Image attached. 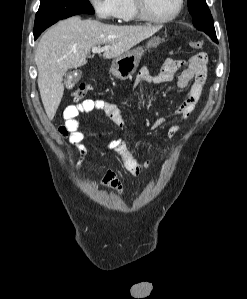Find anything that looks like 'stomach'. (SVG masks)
Returning a JSON list of instances; mask_svg holds the SVG:
<instances>
[{"instance_id": "1", "label": "stomach", "mask_w": 247, "mask_h": 299, "mask_svg": "<svg viewBox=\"0 0 247 299\" xmlns=\"http://www.w3.org/2000/svg\"><path fill=\"white\" fill-rule=\"evenodd\" d=\"M161 42H163V39L154 37L150 39L145 46H139L115 58L110 68L111 74L120 80L132 77L145 52L158 47Z\"/></svg>"}]
</instances>
